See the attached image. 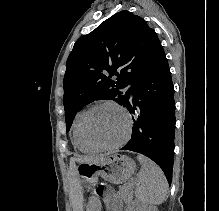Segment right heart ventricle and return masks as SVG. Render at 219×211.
<instances>
[{
    "instance_id": "obj_1",
    "label": "right heart ventricle",
    "mask_w": 219,
    "mask_h": 211,
    "mask_svg": "<svg viewBox=\"0 0 219 211\" xmlns=\"http://www.w3.org/2000/svg\"><path fill=\"white\" fill-rule=\"evenodd\" d=\"M85 110L79 111L72 122L71 126V136H72V142L76 148L79 150L86 152V153H94L96 152V149L89 146L83 139L81 135V120L82 116L84 114Z\"/></svg>"
}]
</instances>
